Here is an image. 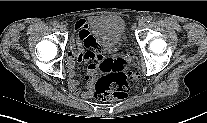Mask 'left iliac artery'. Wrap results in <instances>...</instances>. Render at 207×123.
<instances>
[{
  "instance_id": "obj_1",
  "label": "left iliac artery",
  "mask_w": 207,
  "mask_h": 123,
  "mask_svg": "<svg viewBox=\"0 0 207 123\" xmlns=\"http://www.w3.org/2000/svg\"><path fill=\"white\" fill-rule=\"evenodd\" d=\"M145 20H146L147 23H149L153 20V17L152 16H147Z\"/></svg>"
}]
</instances>
